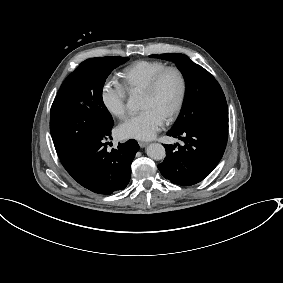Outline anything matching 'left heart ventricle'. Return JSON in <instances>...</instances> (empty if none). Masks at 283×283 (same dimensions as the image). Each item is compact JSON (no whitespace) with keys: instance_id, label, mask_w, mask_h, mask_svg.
<instances>
[{"instance_id":"b2bd125f","label":"left heart ventricle","mask_w":283,"mask_h":283,"mask_svg":"<svg viewBox=\"0 0 283 283\" xmlns=\"http://www.w3.org/2000/svg\"><path fill=\"white\" fill-rule=\"evenodd\" d=\"M180 89L178 76L168 73L161 81L158 89L151 95H141L140 109L151 108L166 116L174 106Z\"/></svg>"}]
</instances>
